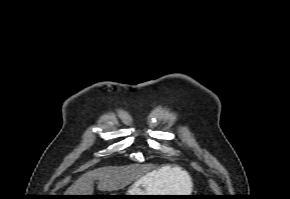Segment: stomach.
<instances>
[{
	"mask_svg": "<svg viewBox=\"0 0 290 199\" xmlns=\"http://www.w3.org/2000/svg\"><path fill=\"white\" fill-rule=\"evenodd\" d=\"M158 171H154L152 175L144 176L137 180L125 194L122 195H182V194H169L174 191L166 188V184L162 178H157ZM121 195V194H110ZM126 199H150L146 196H126Z\"/></svg>",
	"mask_w": 290,
	"mask_h": 199,
	"instance_id": "stomach-1",
	"label": "stomach"
}]
</instances>
